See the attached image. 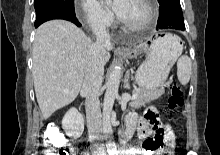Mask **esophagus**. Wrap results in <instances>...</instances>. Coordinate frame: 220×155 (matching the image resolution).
I'll use <instances>...</instances> for the list:
<instances>
[{"instance_id": "1", "label": "esophagus", "mask_w": 220, "mask_h": 155, "mask_svg": "<svg viewBox=\"0 0 220 155\" xmlns=\"http://www.w3.org/2000/svg\"><path fill=\"white\" fill-rule=\"evenodd\" d=\"M115 52H116V53H124V52H126V49H124V48H122V47H117V48L115 49Z\"/></svg>"}]
</instances>
